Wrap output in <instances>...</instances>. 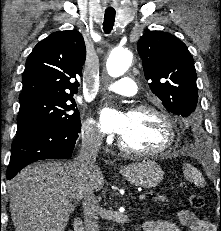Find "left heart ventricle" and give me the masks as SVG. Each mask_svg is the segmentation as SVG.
<instances>
[{
  "mask_svg": "<svg viewBox=\"0 0 221 231\" xmlns=\"http://www.w3.org/2000/svg\"><path fill=\"white\" fill-rule=\"evenodd\" d=\"M126 131L121 135L124 144L133 149L154 150L167 141V128L162 119L152 113H128Z\"/></svg>",
  "mask_w": 221,
  "mask_h": 231,
  "instance_id": "left-heart-ventricle-1",
  "label": "left heart ventricle"
}]
</instances>
